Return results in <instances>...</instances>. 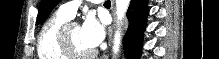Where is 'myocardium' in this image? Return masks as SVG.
<instances>
[{
    "label": "myocardium",
    "mask_w": 219,
    "mask_h": 59,
    "mask_svg": "<svg viewBox=\"0 0 219 59\" xmlns=\"http://www.w3.org/2000/svg\"><path fill=\"white\" fill-rule=\"evenodd\" d=\"M75 23L67 22L63 25L59 35V46L60 50L69 58V59H89L96 55V50L92 49L88 52H80L75 49L72 44L69 28Z\"/></svg>",
    "instance_id": "1"
}]
</instances>
